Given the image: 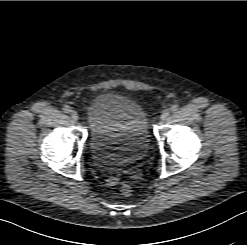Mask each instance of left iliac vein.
<instances>
[{
  "label": "left iliac vein",
  "mask_w": 247,
  "mask_h": 245,
  "mask_svg": "<svg viewBox=\"0 0 247 245\" xmlns=\"http://www.w3.org/2000/svg\"><path fill=\"white\" fill-rule=\"evenodd\" d=\"M169 116V110H163L160 116L161 121H165L167 119V117Z\"/></svg>",
  "instance_id": "1"
}]
</instances>
